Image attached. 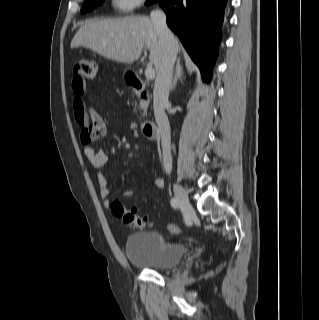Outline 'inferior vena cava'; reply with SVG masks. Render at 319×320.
<instances>
[{
	"label": "inferior vena cava",
	"instance_id": "602c4592",
	"mask_svg": "<svg viewBox=\"0 0 319 320\" xmlns=\"http://www.w3.org/2000/svg\"><path fill=\"white\" fill-rule=\"evenodd\" d=\"M163 47V55L155 79L153 90V108L155 120L161 135L163 163L166 173L172 170L171 132L165 107L171 88V78L176 61L175 38L166 24V15L161 10H154L150 14Z\"/></svg>",
	"mask_w": 319,
	"mask_h": 320
}]
</instances>
